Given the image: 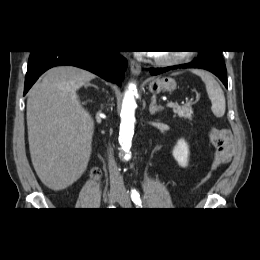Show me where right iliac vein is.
Returning a JSON list of instances; mask_svg holds the SVG:
<instances>
[{
    "label": "right iliac vein",
    "instance_id": "right-iliac-vein-1",
    "mask_svg": "<svg viewBox=\"0 0 260 260\" xmlns=\"http://www.w3.org/2000/svg\"><path fill=\"white\" fill-rule=\"evenodd\" d=\"M121 196V193L118 191H111L109 193V203L112 204L115 201H117L119 199V197Z\"/></svg>",
    "mask_w": 260,
    "mask_h": 260
}]
</instances>
